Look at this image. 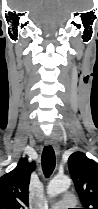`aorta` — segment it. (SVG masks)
I'll use <instances>...</instances> for the list:
<instances>
[{
    "mask_svg": "<svg viewBox=\"0 0 98 209\" xmlns=\"http://www.w3.org/2000/svg\"><path fill=\"white\" fill-rule=\"evenodd\" d=\"M71 185V179L67 176L53 178L47 186V194L50 197L57 196L66 191Z\"/></svg>",
    "mask_w": 98,
    "mask_h": 209,
    "instance_id": "1",
    "label": "aorta"
}]
</instances>
